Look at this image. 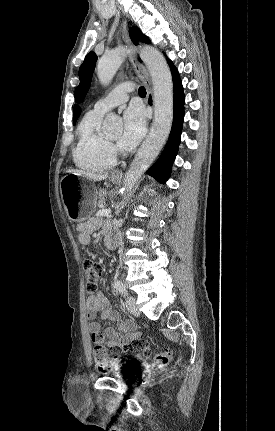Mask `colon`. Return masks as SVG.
I'll list each match as a JSON object with an SVG mask.
<instances>
[{
	"label": "colon",
	"mask_w": 275,
	"mask_h": 431,
	"mask_svg": "<svg viewBox=\"0 0 275 431\" xmlns=\"http://www.w3.org/2000/svg\"><path fill=\"white\" fill-rule=\"evenodd\" d=\"M83 269L86 276V286L90 293L96 291L99 280L103 273V266L100 262L92 259H86L83 262ZM92 341L94 342V357L98 369L102 372H109L116 369L121 363L129 364L130 360L122 361L120 353L123 350L139 353L144 360L151 361L155 367H163L168 364L172 353L170 350H164L154 357L151 356L148 342L144 340H134L124 347H114L107 350L103 345L104 335L98 331L92 333Z\"/></svg>",
	"instance_id": "5ec220e1"
}]
</instances>
